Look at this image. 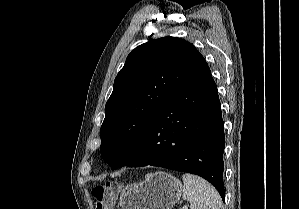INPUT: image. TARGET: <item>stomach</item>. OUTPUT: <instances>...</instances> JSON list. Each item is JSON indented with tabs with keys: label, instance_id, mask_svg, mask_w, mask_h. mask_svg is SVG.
I'll return each instance as SVG.
<instances>
[{
	"label": "stomach",
	"instance_id": "stomach-1",
	"mask_svg": "<svg viewBox=\"0 0 299 209\" xmlns=\"http://www.w3.org/2000/svg\"><path fill=\"white\" fill-rule=\"evenodd\" d=\"M179 179L166 172L147 174L145 180L126 186L120 195L122 209H172L180 200Z\"/></svg>",
	"mask_w": 299,
	"mask_h": 209
}]
</instances>
